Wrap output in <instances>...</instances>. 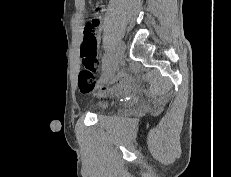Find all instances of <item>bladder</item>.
<instances>
[{
    "mask_svg": "<svg viewBox=\"0 0 231 177\" xmlns=\"http://www.w3.org/2000/svg\"><path fill=\"white\" fill-rule=\"evenodd\" d=\"M107 106H108V103H107L106 101H101V102H99V107H100L102 110L106 109Z\"/></svg>",
    "mask_w": 231,
    "mask_h": 177,
    "instance_id": "1",
    "label": "bladder"
}]
</instances>
